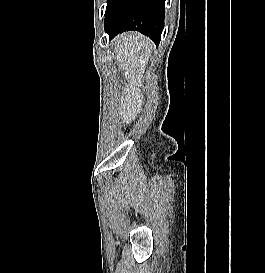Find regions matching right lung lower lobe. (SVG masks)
Instances as JSON below:
<instances>
[{"mask_svg": "<svg viewBox=\"0 0 265 273\" xmlns=\"http://www.w3.org/2000/svg\"><path fill=\"white\" fill-rule=\"evenodd\" d=\"M164 18L165 0H115L105 17V32L112 39L136 30L159 44Z\"/></svg>", "mask_w": 265, "mask_h": 273, "instance_id": "98d812e1", "label": "right lung lower lobe"}]
</instances>
